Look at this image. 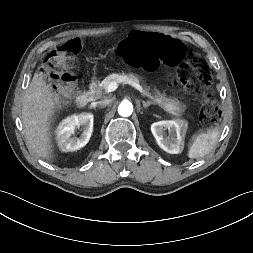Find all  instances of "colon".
Wrapping results in <instances>:
<instances>
[{
    "instance_id": "5ec220e1",
    "label": "colon",
    "mask_w": 253,
    "mask_h": 253,
    "mask_svg": "<svg viewBox=\"0 0 253 253\" xmlns=\"http://www.w3.org/2000/svg\"><path fill=\"white\" fill-rule=\"evenodd\" d=\"M82 44L71 40L49 52L43 61V75L50 87L59 95L75 91V77L68 71L77 59ZM123 59L131 66L151 69L156 63V54L171 64H177L175 77L170 82L172 89L197 93L211 83L212 73L207 61L193 50H188L176 39L160 34L132 33L120 45ZM202 122L214 127L221 117L218 102L210 95L202 97L200 108Z\"/></svg>"
}]
</instances>
